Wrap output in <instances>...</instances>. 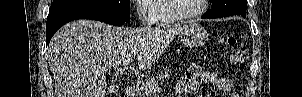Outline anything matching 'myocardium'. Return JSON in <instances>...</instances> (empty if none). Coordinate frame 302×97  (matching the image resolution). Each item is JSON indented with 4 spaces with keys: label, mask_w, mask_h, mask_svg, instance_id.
Here are the masks:
<instances>
[{
    "label": "myocardium",
    "mask_w": 302,
    "mask_h": 97,
    "mask_svg": "<svg viewBox=\"0 0 302 97\" xmlns=\"http://www.w3.org/2000/svg\"><path fill=\"white\" fill-rule=\"evenodd\" d=\"M175 0H168V10L170 14L173 16L174 19L177 21H188L195 19L201 15H203L208 6V0H201V7L194 13L191 14H181L176 10V7L174 5Z\"/></svg>",
    "instance_id": "obj_1"
}]
</instances>
